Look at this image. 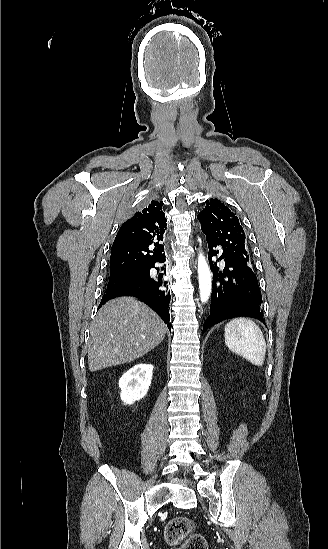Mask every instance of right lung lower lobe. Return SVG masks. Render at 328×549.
<instances>
[{
	"label": "right lung lower lobe",
	"mask_w": 328,
	"mask_h": 549,
	"mask_svg": "<svg viewBox=\"0 0 328 549\" xmlns=\"http://www.w3.org/2000/svg\"><path fill=\"white\" fill-rule=\"evenodd\" d=\"M157 262L164 263L165 255ZM151 268H155V266L153 265ZM151 268L148 269V274L143 280L129 282L107 290L105 295L102 297L99 307H101L107 300L117 296H136L150 306V308H152L162 318L171 331V323L169 322L170 314L168 311L171 296L168 291L167 281L164 278L166 273L152 275L150 274Z\"/></svg>",
	"instance_id": "obj_1"
}]
</instances>
